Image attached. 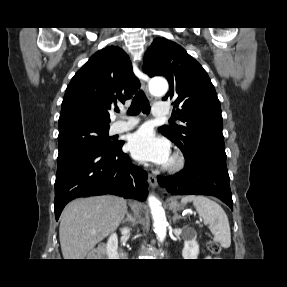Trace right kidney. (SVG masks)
<instances>
[{
	"instance_id": "ca27d5eb",
	"label": "right kidney",
	"mask_w": 287,
	"mask_h": 287,
	"mask_svg": "<svg viewBox=\"0 0 287 287\" xmlns=\"http://www.w3.org/2000/svg\"><path fill=\"white\" fill-rule=\"evenodd\" d=\"M121 231L123 235H127L130 232V229L125 227ZM117 248H118V238H117L116 233H113L109 237L107 245H106V253L109 259L118 258Z\"/></svg>"
}]
</instances>
